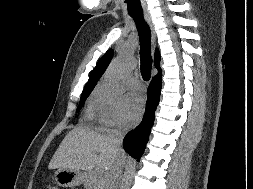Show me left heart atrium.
I'll use <instances>...</instances> for the list:
<instances>
[{
    "label": "left heart atrium",
    "mask_w": 253,
    "mask_h": 189,
    "mask_svg": "<svg viewBox=\"0 0 253 189\" xmlns=\"http://www.w3.org/2000/svg\"><path fill=\"white\" fill-rule=\"evenodd\" d=\"M144 111V101L140 95L131 94L126 98L123 121L125 125H132L139 121Z\"/></svg>",
    "instance_id": "left-heart-atrium-1"
}]
</instances>
